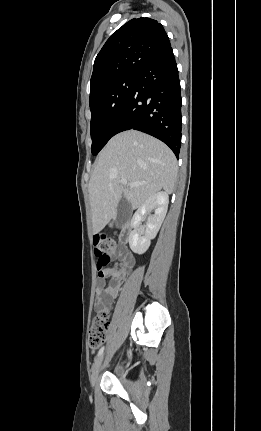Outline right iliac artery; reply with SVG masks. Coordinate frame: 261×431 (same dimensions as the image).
<instances>
[{
  "label": "right iliac artery",
  "mask_w": 261,
  "mask_h": 431,
  "mask_svg": "<svg viewBox=\"0 0 261 431\" xmlns=\"http://www.w3.org/2000/svg\"><path fill=\"white\" fill-rule=\"evenodd\" d=\"M103 352H104V347H102L100 350H99V352H98V354H97V359L103 354Z\"/></svg>",
  "instance_id": "1"
}]
</instances>
